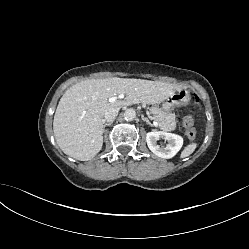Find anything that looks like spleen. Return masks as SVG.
<instances>
[{"label": "spleen", "mask_w": 249, "mask_h": 249, "mask_svg": "<svg viewBox=\"0 0 249 249\" xmlns=\"http://www.w3.org/2000/svg\"><path fill=\"white\" fill-rule=\"evenodd\" d=\"M197 147V144L196 143H192V144H189L187 147H185V149L182 151L181 153V158H185L189 155H191L195 148Z\"/></svg>", "instance_id": "spleen-1"}]
</instances>
